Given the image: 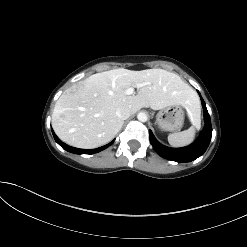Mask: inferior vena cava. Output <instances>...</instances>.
<instances>
[{"label":"inferior vena cava","instance_id":"inferior-vena-cava-1","mask_svg":"<svg viewBox=\"0 0 247 247\" xmlns=\"http://www.w3.org/2000/svg\"><path fill=\"white\" fill-rule=\"evenodd\" d=\"M116 115L118 118H120L122 120H126L127 118L130 117L131 111L128 107L121 106V107L117 108Z\"/></svg>","mask_w":247,"mask_h":247}]
</instances>
